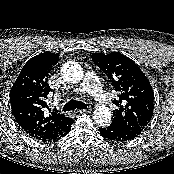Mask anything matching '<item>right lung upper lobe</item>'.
Masks as SVG:
<instances>
[{"mask_svg": "<svg viewBox=\"0 0 174 174\" xmlns=\"http://www.w3.org/2000/svg\"><path fill=\"white\" fill-rule=\"evenodd\" d=\"M59 61L55 53H41L23 66L10 91L12 113L19 126L30 136L51 141L65 136L74 120L51 112L47 99L51 91L47 81Z\"/></svg>", "mask_w": 174, "mask_h": 174, "instance_id": "1", "label": "right lung upper lobe"}]
</instances>
